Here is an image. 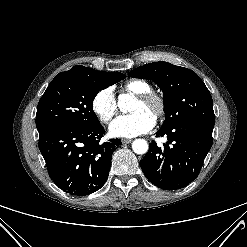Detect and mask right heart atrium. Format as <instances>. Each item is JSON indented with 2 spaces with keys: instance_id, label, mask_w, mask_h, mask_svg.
<instances>
[{
  "instance_id": "right-heart-atrium-1",
  "label": "right heart atrium",
  "mask_w": 247,
  "mask_h": 247,
  "mask_svg": "<svg viewBox=\"0 0 247 247\" xmlns=\"http://www.w3.org/2000/svg\"><path fill=\"white\" fill-rule=\"evenodd\" d=\"M91 107L99 121L108 124L118 112L117 100L110 87L100 89L93 97Z\"/></svg>"
}]
</instances>
